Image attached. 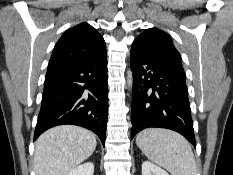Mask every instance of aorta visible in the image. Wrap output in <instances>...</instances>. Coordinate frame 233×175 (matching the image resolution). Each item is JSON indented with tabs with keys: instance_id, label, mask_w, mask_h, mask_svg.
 <instances>
[{
	"instance_id": "1",
	"label": "aorta",
	"mask_w": 233,
	"mask_h": 175,
	"mask_svg": "<svg viewBox=\"0 0 233 175\" xmlns=\"http://www.w3.org/2000/svg\"><path fill=\"white\" fill-rule=\"evenodd\" d=\"M128 86L131 88L132 87V83H133V78H132V72L128 71Z\"/></svg>"
}]
</instances>
